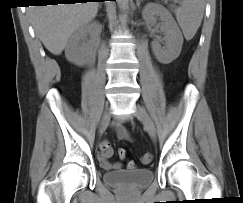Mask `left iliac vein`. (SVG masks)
Here are the masks:
<instances>
[{
	"label": "left iliac vein",
	"mask_w": 243,
	"mask_h": 203,
	"mask_svg": "<svg viewBox=\"0 0 243 203\" xmlns=\"http://www.w3.org/2000/svg\"><path fill=\"white\" fill-rule=\"evenodd\" d=\"M135 116L137 117L138 120H140L144 124L150 137L153 140H155L157 136V132H156L154 122L150 118L147 111L139 104H136L135 106Z\"/></svg>",
	"instance_id": "4c4485c4"
}]
</instances>
